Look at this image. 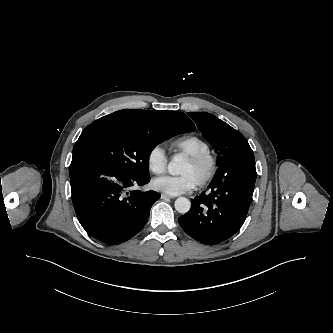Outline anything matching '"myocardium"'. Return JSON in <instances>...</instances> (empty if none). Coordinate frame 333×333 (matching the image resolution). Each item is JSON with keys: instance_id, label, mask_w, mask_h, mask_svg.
Instances as JSON below:
<instances>
[{"instance_id": "1", "label": "myocardium", "mask_w": 333, "mask_h": 333, "mask_svg": "<svg viewBox=\"0 0 333 333\" xmlns=\"http://www.w3.org/2000/svg\"><path fill=\"white\" fill-rule=\"evenodd\" d=\"M190 163L196 166L204 167V174L201 179L197 182L199 187L206 186L215 176L218 164L216 157L208 152H201L187 156V159Z\"/></svg>"}]
</instances>
